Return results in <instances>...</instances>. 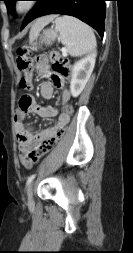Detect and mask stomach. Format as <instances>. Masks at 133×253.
Returning <instances> with one entry per match:
<instances>
[{
    "label": "stomach",
    "instance_id": "stomach-1",
    "mask_svg": "<svg viewBox=\"0 0 133 253\" xmlns=\"http://www.w3.org/2000/svg\"><path fill=\"white\" fill-rule=\"evenodd\" d=\"M37 37L31 38V45L33 49H37L39 47L47 46L53 43L57 38V32L54 29H46L43 31L39 42L35 41Z\"/></svg>",
    "mask_w": 133,
    "mask_h": 253
}]
</instances>
